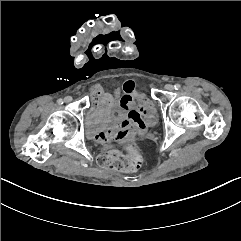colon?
<instances>
[{
  "label": "colon",
  "mask_w": 241,
  "mask_h": 241,
  "mask_svg": "<svg viewBox=\"0 0 241 241\" xmlns=\"http://www.w3.org/2000/svg\"><path fill=\"white\" fill-rule=\"evenodd\" d=\"M96 163L101 168L114 170H130L138 168L142 164V158L135 150L130 149L127 153L117 150H109L98 155Z\"/></svg>",
  "instance_id": "5ec220e1"
}]
</instances>
